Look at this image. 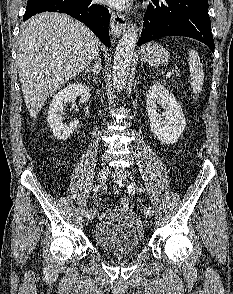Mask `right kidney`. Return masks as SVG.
I'll use <instances>...</instances> for the list:
<instances>
[{
	"label": "right kidney",
	"mask_w": 233,
	"mask_h": 294,
	"mask_svg": "<svg viewBox=\"0 0 233 294\" xmlns=\"http://www.w3.org/2000/svg\"><path fill=\"white\" fill-rule=\"evenodd\" d=\"M80 96V103H86L90 99V89L82 83H72L58 92L50 104L48 111V124L53 135L59 140L68 139L79 124L78 119H74L69 124L63 123L64 106L66 103L75 102Z\"/></svg>",
	"instance_id": "right-kidney-1"
}]
</instances>
